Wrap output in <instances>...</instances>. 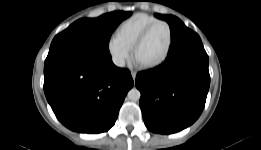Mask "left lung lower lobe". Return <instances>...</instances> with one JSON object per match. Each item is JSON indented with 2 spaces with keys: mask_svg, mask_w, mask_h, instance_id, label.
<instances>
[{
  "mask_svg": "<svg viewBox=\"0 0 261 150\" xmlns=\"http://www.w3.org/2000/svg\"><path fill=\"white\" fill-rule=\"evenodd\" d=\"M208 65L200 37L186 29L172 40L161 65L137 74L140 108L150 131L171 134L198 119L210 86Z\"/></svg>",
  "mask_w": 261,
  "mask_h": 150,
  "instance_id": "left-lung-lower-lobe-1",
  "label": "left lung lower lobe"
}]
</instances>
